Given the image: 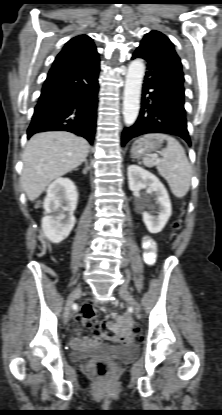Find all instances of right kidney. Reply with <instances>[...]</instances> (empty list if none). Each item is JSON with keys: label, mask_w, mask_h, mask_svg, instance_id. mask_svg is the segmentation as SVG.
<instances>
[{"label": "right kidney", "mask_w": 222, "mask_h": 415, "mask_svg": "<svg viewBox=\"0 0 222 415\" xmlns=\"http://www.w3.org/2000/svg\"><path fill=\"white\" fill-rule=\"evenodd\" d=\"M78 192L68 178H57L47 189L44 200L45 215L42 218V231L53 243H60L68 237L75 224L73 212L77 207Z\"/></svg>", "instance_id": "right-kidney-1"}]
</instances>
